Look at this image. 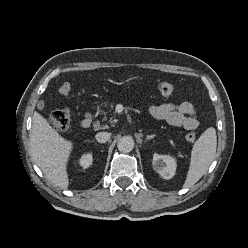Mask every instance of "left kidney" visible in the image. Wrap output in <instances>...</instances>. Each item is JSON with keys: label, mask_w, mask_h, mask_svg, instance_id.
Here are the masks:
<instances>
[{"label": "left kidney", "mask_w": 248, "mask_h": 248, "mask_svg": "<svg viewBox=\"0 0 248 248\" xmlns=\"http://www.w3.org/2000/svg\"><path fill=\"white\" fill-rule=\"evenodd\" d=\"M152 165L154 170L164 179H171L176 172V160L170 155H153Z\"/></svg>", "instance_id": "obj_1"}]
</instances>
